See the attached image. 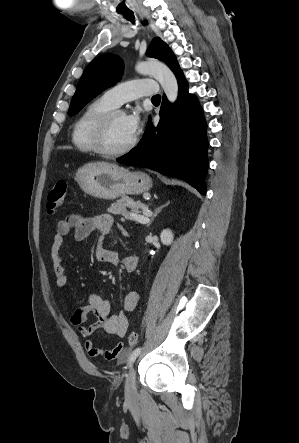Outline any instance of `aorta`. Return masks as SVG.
Masks as SVG:
<instances>
[{"instance_id":"obj_1","label":"aorta","mask_w":299,"mask_h":443,"mask_svg":"<svg viewBox=\"0 0 299 443\" xmlns=\"http://www.w3.org/2000/svg\"><path fill=\"white\" fill-rule=\"evenodd\" d=\"M135 70L141 75L154 77L162 86L167 99L174 103L178 97V83L172 71L163 63L158 61L139 62Z\"/></svg>"}]
</instances>
